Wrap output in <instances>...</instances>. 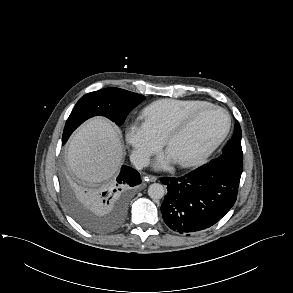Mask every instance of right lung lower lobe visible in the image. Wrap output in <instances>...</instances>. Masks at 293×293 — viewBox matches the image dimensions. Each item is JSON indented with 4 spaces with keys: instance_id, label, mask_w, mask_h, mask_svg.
<instances>
[{
    "instance_id": "right-lung-lower-lobe-1",
    "label": "right lung lower lobe",
    "mask_w": 293,
    "mask_h": 293,
    "mask_svg": "<svg viewBox=\"0 0 293 293\" xmlns=\"http://www.w3.org/2000/svg\"><path fill=\"white\" fill-rule=\"evenodd\" d=\"M141 183L140 174L129 166H122L117 179L110 185L97 190L81 189L83 200L97 214L112 216L114 227L118 228L126 214V191ZM106 231V232H108Z\"/></svg>"
}]
</instances>
